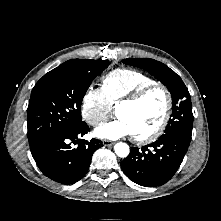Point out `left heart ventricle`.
<instances>
[{
  "label": "left heart ventricle",
  "instance_id": "1",
  "mask_svg": "<svg viewBox=\"0 0 221 221\" xmlns=\"http://www.w3.org/2000/svg\"><path fill=\"white\" fill-rule=\"evenodd\" d=\"M166 107V98L161 90L150 92L137 105H124L116 110V115L127 122L132 135H146L159 125Z\"/></svg>",
  "mask_w": 221,
  "mask_h": 221
}]
</instances>
